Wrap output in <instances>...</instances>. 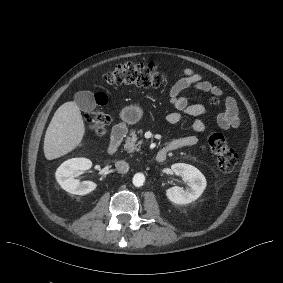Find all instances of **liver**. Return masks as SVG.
<instances>
[{
	"label": "liver",
	"mask_w": 283,
	"mask_h": 283,
	"mask_svg": "<svg viewBox=\"0 0 283 283\" xmlns=\"http://www.w3.org/2000/svg\"><path fill=\"white\" fill-rule=\"evenodd\" d=\"M86 133L85 121L76 101L62 104L55 112L44 139V155L48 161L63 157L77 148L86 147L82 142ZM97 148L94 144H89Z\"/></svg>",
	"instance_id": "6515ba94"
}]
</instances>
